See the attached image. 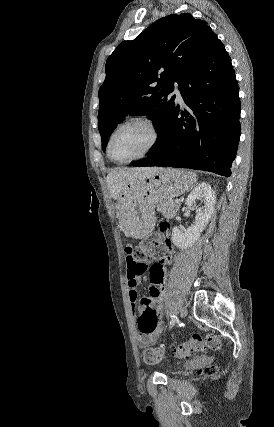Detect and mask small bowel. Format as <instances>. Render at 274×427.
Masks as SVG:
<instances>
[{"mask_svg": "<svg viewBox=\"0 0 274 427\" xmlns=\"http://www.w3.org/2000/svg\"><path fill=\"white\" fill-rule=\"evenodd\" d=\"M125 251L131 252L132 246L126 245ZM135 258V255L131 253H127L124 256L127 262H131ZM171 261L172 254L169 253L163 260L158 261L160 264H142L139 267L131 266L126 271L129 288L128 297L133 309L138 300L137 284L139 278H149V285L146 288L149 295L141 296L138 306V318L136 320L137 327H140L141 331L146 334L137 335V341L141 347L155 342L160 337L161 332L165 331L164 307L162 304H159V300L162 302L167 292L165 271ZM161 272H163V275L160 279Z\"/></svg>", "mask_w": 274, "mask_h": 427, "instance_id": "1", "label": "small bowel"}]
</instances>
